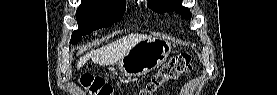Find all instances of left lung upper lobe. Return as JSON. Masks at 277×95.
Returning a JSON list of instances; mask_svg holds the SVG:
<instances>
[{
	"label": "left lung upper lobe",
	"mask_w": 277,
	"mask_h": 95,
	"mask_svg": "<svg viewBox=\"0 0 277 95\" xmlns=\"http://www.w3.org/2000/svg\"><path fill=\"white\" fill-rule=\"evenodd\" d=\"M147 6L159 13L174 11L184 19H190L192 15L188 8L182 6V0H148Z\"/></svg>",
	"instance_id": "1"
}]
</instances>
